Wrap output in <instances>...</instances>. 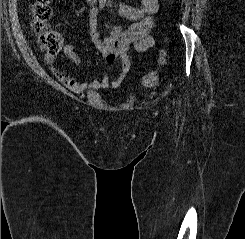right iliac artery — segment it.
<instances>
[{
  "mask_svg": "<svg viewBox=\"0 0 245 239\" xmlns=\"http://www.w3.org/2000/svg\"><path fill=\"white\" fill-rule=\"evenodd\" d=\"M106 0H100L99 2V8L100 10L104 8Z\"/></svg>",
  "mask_w": 245,
  "mask_h": 239,
  "instance_id": "obj_1",
  "label": "right iliac artery"
}]
</instances>
